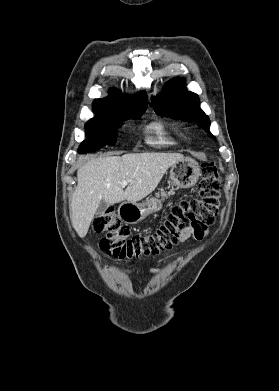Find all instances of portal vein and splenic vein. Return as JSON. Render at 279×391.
I'll list each match as a JSON object with an SVG mask.
<instances>
[{
	"label": "portal vein and splenic vein",
	"instance_id": "18ae733b",
	"mask_svg": "<svg viewBox=\"0 0 279 391\" xmlns=\"http://www.w3.org/2000/svg\"><path fill=\"white\" fill-rule=\"evenodd\" d=\"M130 182H132L131 180H124L123 182H122V186H125V185H127L128 183H130Z\"/></svg>",
	"mask_w": 279,
	"mask_h": 391
}]
</instances>
